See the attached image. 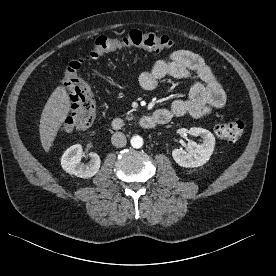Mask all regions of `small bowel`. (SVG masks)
<instances>
[{
  "label": "small bowel",
  "instance_id": "c3829d8e",
  "mask_svg": "<svg viewBox=\"0 0 276 276\" xmlns=\"http://www.w3.org/2000/svg\"><path fill=\"white\" fill-rule=\"evenodd\" d=\"M166 77L194 79L187 98L176 99L169 108L159 109L170 119L183 115L200 118L223 107L226 102V94L218 78L204 59L190 50L180 49L158 60L150 71L139 76V84L144 90H153Z\"/></svg>",
  "mask_w": 276,
  "mask_h": 276
}]
</instances>
